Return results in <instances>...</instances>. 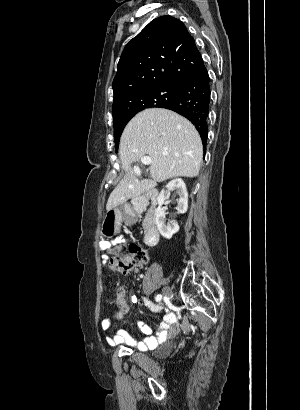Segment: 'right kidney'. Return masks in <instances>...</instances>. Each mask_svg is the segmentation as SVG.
Returning <instances> with one entry per match:
<instances>
[{
	"instance_id": "right-kidney-1",
	"label": "right kidney",
	"mask_w": 300,
	"mask_h": 410,
	"mask_svg": "<svg viewBox=\"0 0 300 410\" xmlns=\"http://www.w3.org/2000/svg\"><path fill=\"white\" fill-rule=\"evenodd\" d=\"M171 191H176L179 196L177 200V213L184 214L188 209V193L184 181L180 178L171 180L164 189L161 190L157 201L158 207L155 209V223L160 234L166 238H172L173 234L179 231V225L176 221H165V211L162 205L170 197Z\"/></svg>"
}]
</instances>
